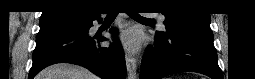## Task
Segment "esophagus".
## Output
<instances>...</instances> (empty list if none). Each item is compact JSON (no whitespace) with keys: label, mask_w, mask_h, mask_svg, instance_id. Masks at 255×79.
<instances>
[{"label":"esophagus","mask_w":255,"mask_h":79,"mask_svg":"<svg viewBox=\"0 0 255 79\" xmlns=\"http://www.w3.org/2000/svg\"><path fill=\"white\" fill-rule=\"evenodd\" d=\"M126 67L130 77H134L136 75L137 64L136 59L132 57L130 54L125 53Z\"/></svg>","instance_id":"1"}]
</instances>
